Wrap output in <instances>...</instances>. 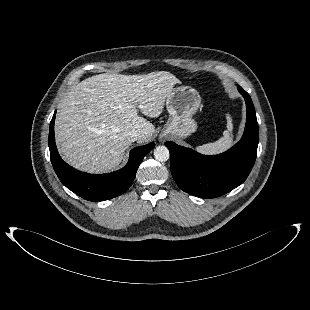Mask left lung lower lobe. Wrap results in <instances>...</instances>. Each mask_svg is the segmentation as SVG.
I'll return each mask as SVG.
<instances>
[{
  "label": "left lung lower lobe",
  "instance_id": "obj_1",
  "mask_svg": "<svg viewBox=\"0 0 310 310\" xmlns=\"http://www.w3.org/2000/svg\"><path fill=\"white\" fill-rule=\"evenodd\" d=\"M247 107V121L241 140L228 151L206 156L173 142L165 145L170 152V167L177 185L200 198H215L242 184L249 175L257 155L258 123L252 100L238 86Z\"/></svg>",
  "mask_w": 310,
  "mask_h": 310
}]
</instances>
